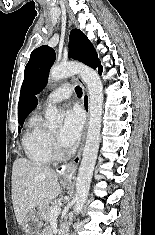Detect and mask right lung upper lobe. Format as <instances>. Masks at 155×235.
Wrapping results in <instances>:
<instances>
[{
	"label": "right lung upper lobe",
	"mask_w": 155,
	"mask_h": 235,
	"mask_svg": "<svg viewBox=\"0 0 155 235\" xmlns=\"http://www.w3.org/2000/svg\"><path fill=\"white\" fill-rule=\"evenodd\" d=\"M36 105H37V99L36 97H34L28 103L26 110L23 111L22 114H20L18 111V121L25 120L26 116L36 107Z\"/></svg>",
	"instance_id": "cb5924a9"
}]
</instances>
